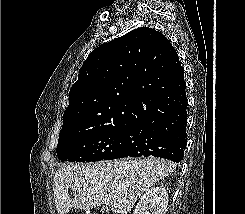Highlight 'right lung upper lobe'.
Masks as SVG:
<instances>
[{
	"label": "right lung upper lobe",
	"instance_id": "right-lung-upper-lobe-1",
	"mask_svg": "<svg viewBox=\"0 0 245 214\" xmlns=\"http://www.w3.org/2000/svg\"><path fill=\"white\" fill-rule=\"evenodd\" d=\"M175 54L170 41L148 27L100 45L80 68L64 117L91 126L135 117L168 85Z\"/></svg>",
	"mask_w": 245,
	"mask_h": 214
}]
</instances>
